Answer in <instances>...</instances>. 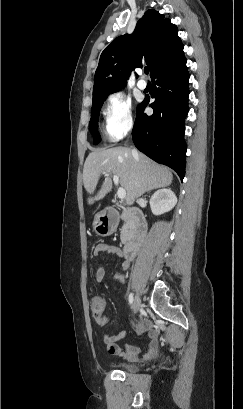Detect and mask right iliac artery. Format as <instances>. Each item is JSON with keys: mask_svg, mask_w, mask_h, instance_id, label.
<instances>
[{"mask_svg": "<svg viewBox=\"0 0 243 409\" xmlns=\"http://www.w3.org/2000/svg\"><path fill=\"white\" fill-rule=\"evenodd\" d=\"M133 300H134L133 294L130 293V294H129V304H130V305L133 303Z\"/></svg>", "mask_w": 243, "mask_h": 409, "instance_id": "obj_1", "label": "right iliac artery"}]
</instances>
